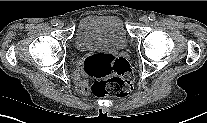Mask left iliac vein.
Segmentation results:
<instances>
[{
    "label": "left iliac vein",
    "mask_w": 207,
    "mask_h": 123,
    "mask_svg": "<svg viewBox=\"0 0 207 123\" xmlns=\"http://www.w3.org/2000/svg\"><path fill=\"white\" fill-rule=\"evenodd\" d=\"M141 21H142L143 23H148L149 19H148L147 16H142V17H141Z\"/></svg>",
    "instance_id": "obj_1"
}]
</instances>
